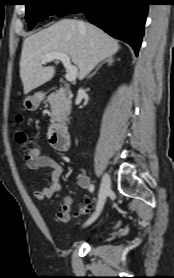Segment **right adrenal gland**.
<instances>
[{
    "label": "right adrenal gland",
    "instance_id": "right-adrenal-gland-1",
    "mask_svg": "<svg viewBox=\"0 0 174 278\" xmlns=\"http://www.w3.org/2000/svg\"><path fill=\"white\" fill-rule=\"evenodd\" d=\"M113 62H114V59H113L112 57L107 58L103 63H101V64L95 69V71H94L91 75L88 76V78H90V77H92L93 75H95L96 72L100 69V67H101L103 64L107 63L108 65H112Z\"/></svg>",
    "mask_w": 174,
    "mask_h": 278
}]
</instances>
